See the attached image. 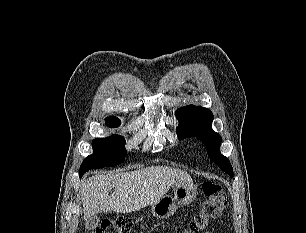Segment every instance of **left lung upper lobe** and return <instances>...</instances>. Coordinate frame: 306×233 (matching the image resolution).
<instances>
[{
  "mask_svg": "<svg viewBox=\"0 0 306 233\" xmlns=\"http://www.w3.org/2000/svg\"><path fill=\"white\" fill-rule=\"evenodd\" d=\"M175 115L179 120L176 129L178 137H197L206 145L210 159L233 177L230 161L220 153L221 136L211 128L212 112L201 106L188 105L179 108Z\"/></svg>",
  "mask_w": 306,
  "mask_h": 233,
  "instance_id": "left-lung-upper-lobe-1",
  "label": "left lung upper lobe"
}]
</instances>
